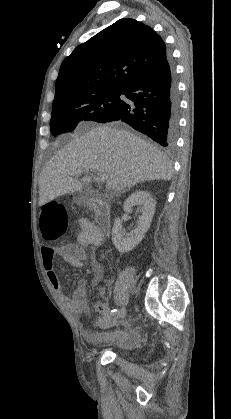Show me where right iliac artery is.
<instances>
[{
  "label": "right iliac artery",
  "mask_w": 231,
  "mask_h": 419,
  "mask_svg": "<svg viewBox=\"0 0 231 419\" xmlns=\"http://www.w3.org/2000/svg\"><path fill=\"white\" fill-rule=\"evenodd\" d=\"M117 313V309H113V310H111V315H115Z\"/></svg>",
  "instance_id": "1"
}]
</instances>
